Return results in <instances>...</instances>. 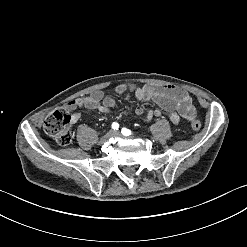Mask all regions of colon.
<instances>
[{"mask_svg":"<svg viewBox=\"0 0 247 247\" xmlns=\"http://www.w3.org/2000/svg\"><path fill=\"white\" fill-rule=\"evenodd\" d=\"M72 115L62 110L52 112L43 122V129L49 134L57 144L67 146L73 139L71 131ZM194 130L201 129L198 119L191 121Z\"/></svg>","mask_w":247,"mask_h":247,"instance_id":"5ec220e1","label":"colon"}]
</instances>
